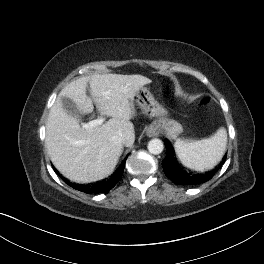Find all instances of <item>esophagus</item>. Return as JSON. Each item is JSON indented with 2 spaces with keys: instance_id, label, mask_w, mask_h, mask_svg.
Listing matches in <instances>:
<instances>
[{
  "instance_id": "1",
  "label": "esophagus",
  "mask_w": 264,
  "mask_h": 264,
  "mask_svg": "<svg viewBox=\"0 0 264 264\" xmlns=\"http://www.w3.org/2000/svg\"><path fill=\"white\" fill-rule=\"evenodd\" d=\"M149 135L153 136L155 135V129L153 128H150L149 131H148Z\"/></svg>"
}]
</instances>
